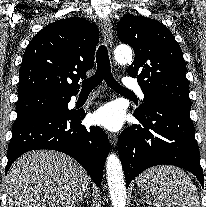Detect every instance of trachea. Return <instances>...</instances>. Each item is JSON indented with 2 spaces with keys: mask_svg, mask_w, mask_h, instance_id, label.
I'll return each mask as SVG.
<instances>
[{
  "mask_svg": "<svg viewBox=\"0 0 206 207\" xmlns=\"http://www.w3.org/2000/svg\"><path fill=\"white\" fill-rule=\"evenodd\" d=\"M97 70L90 78L82 82V91H92L104 80L111 89L119 93L133 94L121 86L111 73L109 55L106 46L101 45L96 53Z\"/></svg>",
  "mask_w": 206,
  "mask_h": 207,
  "instance_id": "1",
  "label": "trachea"
}]
</instances>
